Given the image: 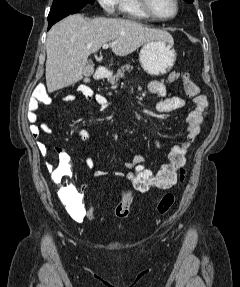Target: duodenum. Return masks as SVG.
<instances>
[{
    "label": "duodenum",
    "instance_id": "obj_1",
    "mask_svg": "<svg viewBox=\"0 0 240 287\" xmlns=\"http://www.w3.org/2000/svg\"><path fill=\"white\" fill-rule=\"evenodd\" d=\"M107 73H108V69L105 66L100 65L97 67L95 71L94 79L101 80L106 77Z\"/></svg>",
    "mask_w": 240,
    "mask_h": 287
}]
</instances>
